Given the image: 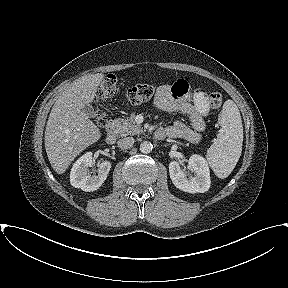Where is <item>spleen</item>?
Instances as JSON below:
<instances>
[{
    "label": "spleen",
    "instance_id": "3e777b00",
    "mask_svg": "<svg viewBox=\"0 0 288 288\" xmlns=\"http://www.w3.org/2000/svg\"><path fill=\"white\" fill-rule=\"evenodd\" d=\"M221 130L207 150V161L218 178L228 177L242 152L243 126L240 112L232 100H227L220 114Z\"/></svg>",
    "mask_w": 288,
    "mask_h": 288
}]
</instances>
